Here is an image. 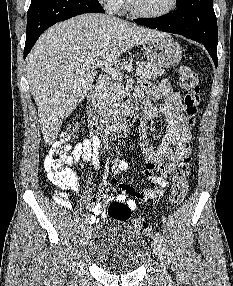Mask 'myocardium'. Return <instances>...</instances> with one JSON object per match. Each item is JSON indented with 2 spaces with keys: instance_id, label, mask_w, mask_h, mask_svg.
<instances>
[{
  "instance_id": "1",
  "label": "myocardium",
  "mask_w": 233,
  "mask_h": 286,
  "mask_svg": "<svg viewBox=\"0 0 233 286\" xmlns=\"http://www.w3.org/2000/svg\"><path fill=\"white\" fill-rule=\"evenodd\" d=\"M126 2H127V6L129 8V10L133 14L140 16V17H143V18H149V19L162 18V17H165V16L171 14L172 12H174L176 10L177 4H178V0H171V4L166 10L159 12V13H150V12H146V11H143L140 8H138L136 6L134 0H126Z\"/></svg>"
}]
</instances>
